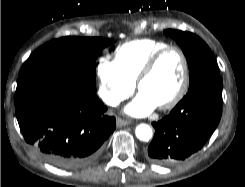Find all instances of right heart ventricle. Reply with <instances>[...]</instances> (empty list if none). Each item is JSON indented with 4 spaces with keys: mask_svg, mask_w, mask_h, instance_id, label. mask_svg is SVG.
<instances>
[{
    "mask_svg": "<svg viewBox=\"0 0 245 187\" xmlns=\"http://www.w3.org/2000/svg\"><path fill=\"white\" fill-rule=\"evenodd\" d=\"M169 46L158 39H135L119 45L115 50L114 60L128 81L135 84L136 79L148 61L159 49Z\"/></svg>",
    "mask_w": 245,
    "mask_h": 187,
    "instance_id": "right-heart-ventricle-1",
    "label": "right heart ventricle"
}]
</instances>
